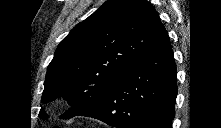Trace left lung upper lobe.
<instances>
[{
  "instance_id": "left-lung-upper-lobe-1",
  "label": "left lung upper lobe",
  "mask_w": 221,
  "mask_h": 128,
  "mask_svg": "<svg viewBox=\"0 0 221 128\" xmlns=\"http://www.w3.org/2000/svg\"><path fill=\"white\" fill-rule=\"evenodd\" d=\"M165 28L146 0H108L76 25L48 66L41 102L58 97L72 118L102 100ZM40 118H48L44 110Z\"/></svg>"
}]
</instances>
